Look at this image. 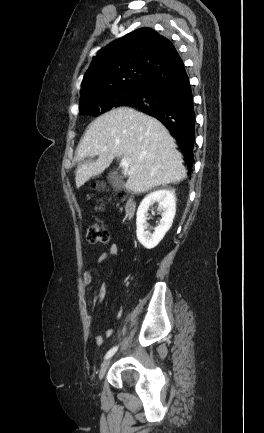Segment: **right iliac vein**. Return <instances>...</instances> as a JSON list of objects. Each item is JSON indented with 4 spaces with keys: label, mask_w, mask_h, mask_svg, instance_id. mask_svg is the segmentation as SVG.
<instances>
[{
    "label": "right iliac vein",
    "mask_w": 264,
    "mask_h": 433,
    "mask_svg": "<svg viewBox=\"0 0 264 433\" xmlns=\"http://www.w3.org/2000/svg\"><path fill=\"white\" fill-rule=\"evenodd\" d=\"M110 363H111V359H107V360L102 364V366H101V368H100V371H99V379H100V380L104 377V375H105L107 369H108L109 366H110Z\"/></svg>",
    "instance_id": "obj_1"
}]
</instances>
